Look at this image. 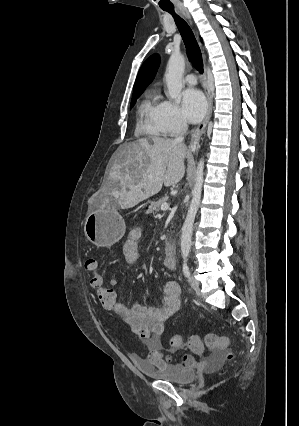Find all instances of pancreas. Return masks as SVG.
<instances>
[{"label":"pancreas","mask_w":299,"mask_h":426,"mask_svg":"<svg viewBox=\"0 0 299 426\" xmlns=\"http://www.w3.org/2000/svg\"><path fill=\"white\" fill-rule=\"evenodd\" d=\"M166 201H167V198L163 197L156 202H151V204L148 208V212L149 213H157L160 209L161 204L165 203Z\"/></svg>","instance_id":"cf45deb5"}]
</instances>
